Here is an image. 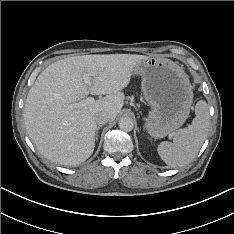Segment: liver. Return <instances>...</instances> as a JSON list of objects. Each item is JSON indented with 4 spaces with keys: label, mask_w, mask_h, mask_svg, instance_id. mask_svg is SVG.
Returning <instances> with one entry per match:
<instances>
[{
    "label": "liver",
    "mask_w": 234,
    "mask_h": 234,
    "mask_svg": "<svg viewBox=\"0 0 234 234\" xmlns=\"http://www.w3.org/2000/svg\"><path fill=\"white\" fill-rule=\"evenodd\" d=\"M144 55L106 54L73 56L49 65L29 90L24 107L27 133L37 150L50 161L77 165L95 147L97 112L115 119L124 105L122 90L129 84L135 65ZM90 74L91 85L83 81ZM89 94L106 95L81 108L69 105Z\"/></svg>",
    "instance_id": "obj_1"
}]
</instances>
